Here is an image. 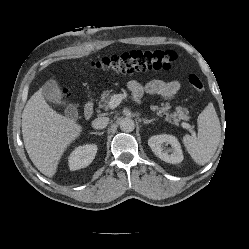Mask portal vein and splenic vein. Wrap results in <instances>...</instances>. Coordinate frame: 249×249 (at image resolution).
<instances>
[{"label":"portal vein and splenic vein","instance_id":"obj_1","mask_svg":"<svg viewBox=\"0 0 249 249\" xmlns=\"http://www.w3.org/2000/svg\"><path fill=\"white\" fill-rule=\"evenodd\" d=\"M124 99L123 94H115L110 98V101L108 103V106L110 109H115L121 101ZM182 127L185 129H188L191 133L194 134V132L191 130V126L187 123H182Z\"/></svg>","mask_w":249,"mask_h":249}]
</instances>
